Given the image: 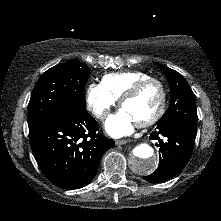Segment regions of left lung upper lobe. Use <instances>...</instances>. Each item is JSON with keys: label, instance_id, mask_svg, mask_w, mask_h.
Here are the masks:
<instances>
[{"label": "left lung upper lobe", "instance_id": "obj_1", "mask_svg": "<svg viewBox=\"0 0 221 221\" xmlns=\"http://www.w3.org/2000/svg\"><path fill=\"white\" fill-rule=\"evenodd\" d=\"M157 65L163 69L171 87L170 106L158 124L180 125L196 135L198 120L196 97L189 84L177 71L159 63Z\"/></svg>", "mask_w": 221, "mask_h": 221}]
</instances>
